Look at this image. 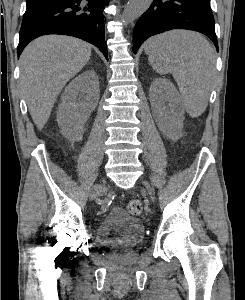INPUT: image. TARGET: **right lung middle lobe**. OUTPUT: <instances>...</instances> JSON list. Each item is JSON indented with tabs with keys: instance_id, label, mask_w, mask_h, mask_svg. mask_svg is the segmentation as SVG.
<instances>
[{
	"instance_id": "obj_1",
	"label": "right lung middle lobe",
	"mask_w": 245,
	"mask_h": 300,
	"mask_svg": "<svg viewBox=\"0 0 245 300\" xmlns=\"http://www.w3.org/2000/svg\"><path fill=\"white\" fill-rule=\"evenodd\" d=\"M46 0H42V1H27V7H30V6H33L35 4H38V3H41V2H44Z\"/></svg>"
}]
</instances>
